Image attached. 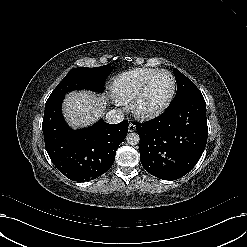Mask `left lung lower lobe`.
Returning a JSON list of instances; mask_svg holds the SVG:
<instances>
[{
    "label": "left lung lower lobe",
    "mask_w": 247,
    "mask_h": 247,
    "mask_svg": "<svg viewBox=\"0 0 247 247\" xmlns=\"http://www.w3.org/2000/svg\"><path fill=\"white\" fill-rule=\"evenodd\" d=\"M140 160L145 170L163 180H176L199 161L208 136L206 103L195 95L155 119L135 123Z\"/></svg>",
    "instance_id": "1"
}]
</instances>
